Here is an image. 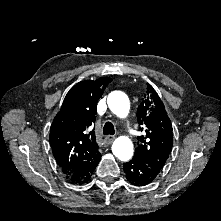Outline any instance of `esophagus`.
Segmentation results:
<instances>
[{
	"label": "esophagus",
	"instance_id": "obj_1",
	"mask_svg": "<svg viewBox=\"0 0 221 221\" xmlns=\"http://www.w3.org/2000/svg\"><path fill=\"white\" fill-rule=\"evenodd\" d=\"M114 139H115V136H113V135L105 136V141L108 143H112Z\"/></svg>",
	"mask_w": 221,
	"mask_h": 221
}]
</instances>
